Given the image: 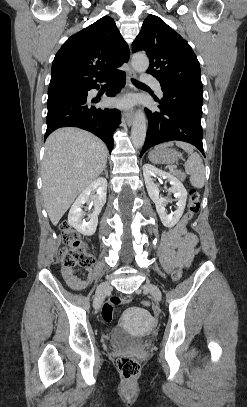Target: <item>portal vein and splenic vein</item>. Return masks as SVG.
Here are the masks:
<instances>
[{
  "label": "portal vein and splenic vein",
  "instance_id": "18ae733b",
  "mask_svg": "<svg viewBox=\"0 0 247 407\" xmlns=\"http://www.w3.org/2000/svg\"><path fill=\"white\" fill-rule=\"evenodd\" d=\"M176 167H171V170L173 171Z\"/></svg>",
  "mask_w": 247,
  "mask_h": 407
}]
</instances>
